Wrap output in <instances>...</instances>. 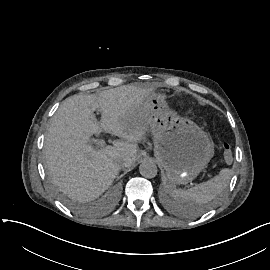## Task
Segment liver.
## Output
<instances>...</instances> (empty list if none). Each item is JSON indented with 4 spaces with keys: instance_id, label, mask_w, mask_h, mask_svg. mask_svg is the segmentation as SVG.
Here are the masks:
<instances>
[{
    "instance_id": "6515ba94",
    "label": "liver",
    "mask_w": 270,
    "mask_h": 270,
    "mask_svg": "<svg viewBox=\"0 0 270 270\" xmlns=\"http://www.w3.org/2000/svg\"><path fill=\"white\" fill-rule=\"evenodd\" d=\"M154 88L126 85L65 99L45 137L44 156L53 183L78 200L98 197L121 167L135 162L137 144L147 135L145 126L156 97ZM99 108L105 130L124 141L95 150L89 139L100 133L94 111Z\"/></svg>"
}]
</instances>
